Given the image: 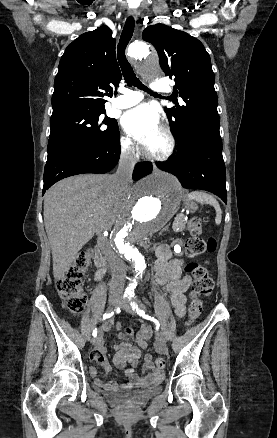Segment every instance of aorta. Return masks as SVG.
<instances>
[{
  "label": "aorta",
  "mask_w": 277,
  "mask_h": 438,
  "mask_svg": "<svg viewBox=\"0 0 277 438\" xmlns=\"http://www.w3.org/2000/svg\"><path fill=\"white\" fill-rule=\"evenodd\" d=\"M128 55L144 59L142 73L153 78L159 75L158 58L142 42L129 46ZM180 201V184L172 175L156 172L140 180L132 189L126 205L115 223L110 240L116 252L132 262L136 276L146 268L145 258L139 250L141 243L159 231L176 213ZM136 279L127 292L134 291Z\"/></svg>",
  "instance_id": "1"
}]
</instances>
